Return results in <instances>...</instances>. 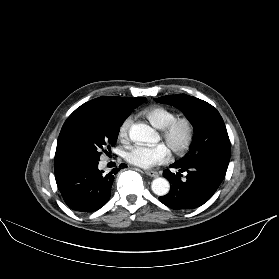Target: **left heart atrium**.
I'll return each instance as SVG.
<instances>
[{
  "instance_id": "39dd6f15",
  "label": "left heart atrium",
  "mask_w": 279,
  "mask_h": 279,
  "mask_svg": "<svg viewBox=\"0 0 279 279\" xmlns=\"http://www.w3.org/2000/svg\"><path fill=\"white\" fill-rule=\"evenodd\" d=\"M169 157L170 150L163 143L154 146L134 145L126 152L127 161L142 168L165 163Z\"/></svg>"
}]
</instances>
